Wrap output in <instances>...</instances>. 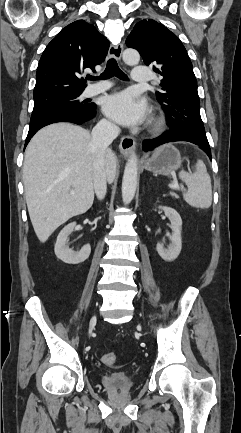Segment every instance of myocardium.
<instances>
[{"mask_svg": "<svg viewBox=\"0 0 241 433\" xmlns=\"http://www.w3.org/2000/svg\"><path fill=\"white\" fill-rule=\"evenodd\" d=\"M161 124H162V122H161V121H158V122L156 123V126H157V127H160Z\"/></svg>", "mask_w": 241, "mask_h": 433, "instance_id": "myocardium-1", "label": "myocardium"}]
</instances>
